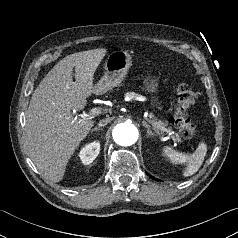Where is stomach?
Segmentation results:
<instances>
[{"instance_id": "0dacf381", "label": "stomach", "mask_w": 238, "mask_h": 238, "mask_svg": "<svg viewBox=\"0 0 238 238\" xmlns=\"http://www.w3.org/2000/svg\"><path fill=\"white\" fill-rule=\"evenodd\" d=\"M132 66V56L127 51H114L108 55L105 61V73L95 85L97 94H104L117 87L126 77ZM147 90L150 93L157 91L158 84L155 81L147 82Z\"/></svg>"}]
</instances>
